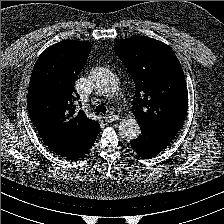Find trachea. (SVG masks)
I'll list each match as a JSON object with an SVG mask.
<instances>
[{"label":"trachea","instance_id":"obj_1","mask_svg":"<svg viewBox=\"0 0 224 224\" xmlns=\"http://www.w3.org/2000/svg\"><path fill=\"white\" fill-rule=\"evenodd\" d=\"M94 112L105 114L106 113V107L102 104L98 105Z\"/></svg>","mask_w":224,"mask_h":224}]
</instances>
